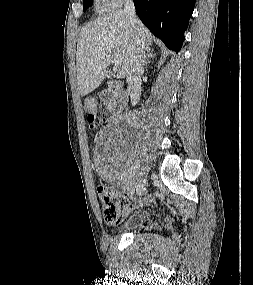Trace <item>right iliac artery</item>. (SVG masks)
Wrapping results in <instances>:
<instances>
[{"mask_svg":"<svg viewBox=\"0 0 253 285\" xmlns=\"http://www.w3.org/2000/svg\"><path fill=\"white\" fill-rule=\"evenodd\" d=\"M133 193H134V187H130V188H129V194L132 195Z\"/></svg>","mask_w":253,"mask_h":285,"instance_id":"82829eb1","label":"right iliac artery"}]
</instances>
